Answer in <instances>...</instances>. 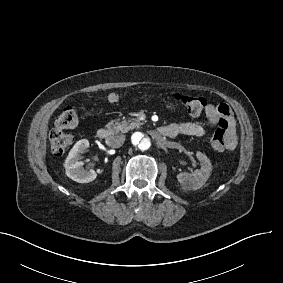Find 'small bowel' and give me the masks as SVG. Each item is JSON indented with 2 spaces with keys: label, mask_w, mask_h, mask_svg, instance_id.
<instances>
[{
  "label": "small bowel",
  "mask_w": 283,
  "mask_h": 283,
  "mask_svg": "<svg viewBox=\"0 0 283 283\" xmlns=\"http://www.w3.org/2000/svg\"><path fill=\"white\" fill-rule=\"evenodd\" d=\"M233 106L226 101H219L217 106L209 104L205 109V115L208 121L215 125L218 123L220 116L225 123H232L234 121ZM170 133V137L181 135L202 137L206 134L204 125L198 122H182L177 124H170L165 126ZM237 146V136L234 128V123L227 132L225 139V149L233 151Z\"/></svg>",
  "instance_id": "c3829d8e"
}]
</instances>
